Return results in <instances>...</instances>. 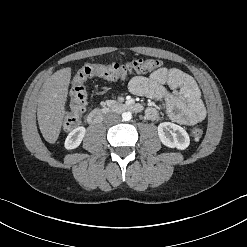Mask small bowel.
<instances>
[{"instance_id":"small-bowel-1","label":"small bowel","mask_w":247,"mask_h":247,"mask_svg":"<svg viewBox=\"0 0 247 247\" xmlns=\"http://www.w3.org/2000/svg\"><path fill=\"white\" fill-rule=\"evenodd\" d=\"M129 90L138 96L164 100L168 116L177 123L193 125L205 118V107L195 80L177 68H160L148 76L134 77L129 82ZM145 115L155 121L159 112L155 107H148Z\"/></svg>"}]
</instances>
